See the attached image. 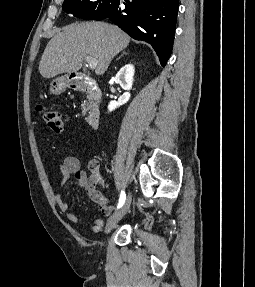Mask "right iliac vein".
<instances>
[{
    "label": "right iliac vein",
    "mask_w": 255,
    "mask_h": 287,
    "mask_svg": "<svg viewBox=\"0 0 255 287\" xmlns=\"http://www.w3.org/2000/svg\"><path fill=\"white\" fill-rule=\"evenodd\" d=\"M131 204V195L129 194L125 203L122 205V207L115 212L107 221L105 232L109 233L117 223L124 217V215L127 213L128 209L130 208Z\"/></svg>",
    "instance_id": "right-iliac-vein-1"
}]
</instances>
